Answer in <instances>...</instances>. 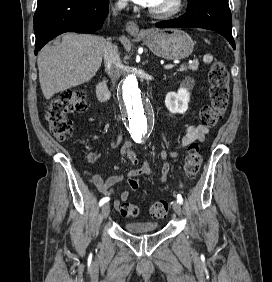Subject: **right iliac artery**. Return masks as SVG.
I'll return each instance as SVG.
<instances>
[{
    "mask_svg": "<svg viewBox=\"0 0 272 282\" xmlns=\"http://www.w3.org/2000/svg\"><path fill=\"white\" fill-rule=\"evenodd\" d=\"M109 198L108 197H104L100 200L99 205L102 206L104 203L108 202Z\"/></svg>",
    "mask_w": 272,
    "mask_h": 282,
    "instance_id": "right-iliac-artery-1",
    "label": "right iliac artery"
}]
</instances>
